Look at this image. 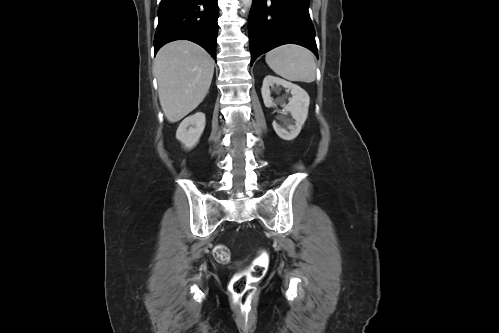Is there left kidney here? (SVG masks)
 I'll return each mask as SVG.
<instances>
[{
    "label": "left kidney",
    "instance_id": "obj_1",
    "mask_svg": "<svg viewBox=\"0 0 499 333\" xmlns=\"http://www.w3.org/2000/svg\"><path fill=\"white\" fill-rule=\"evenodd\" d=\"M274 84L281 85L288 89L292 95L289 103L283 106V112H289L294 122L288 121L285 126L279 125L273 121L272 125L276 134L284 140L295 139L301 131L308 115L310 98L307 92L296 84L280 79L278 77L267 75L263 80L261 93L266 107H273L274 103L270 96V86Z\"/></svg>",
    "mask_w": 499,
    "mask_h": 333
}]
</instances>
